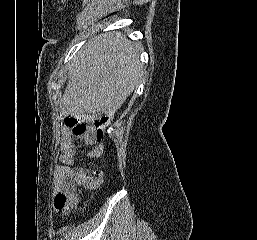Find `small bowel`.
Listing matches in <instances>:
<instances>
[{"mask_svg": "<svg viewBox=\"0 0 257 240\" xmlns=\"http://www.w3.org/2000/svg\"><path fill=\"white\" fill-rule=\"evenodd\" d=\"M99 141L100 139L92 128H89L82 135H76L68 129L63 131L60 143V164L55 167L54 171V187L57 195L75 191L77 184L81 182L86 173V169L80 165L79 160L81 158L93 159L100 155L104 149L103 144H98L82 155L77 150V143L83 142L87 145H93L99 143Z\"/></svg>", "mask_w": 257, "mask_h": 240, "instance_id": "obj_1", "label": "small bowel"}]
</instances>
